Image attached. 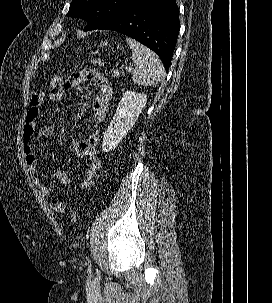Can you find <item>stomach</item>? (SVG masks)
<instances>
[{
	"instance_id": "1",
	"label": "stomach",
	"mask_w": 272,
	"mask_h": 303,
	"mask_svg": "<svg viewBox=\"0 0 272 303\" xmlns=\"http://www.w3.org/2000/svg\"><path fill=\"white\" fill-rule=\"evenodd\" d=\"M107 46V42H102L101 44H100V47H106Z\"/></svg>"
}]
</instances>
